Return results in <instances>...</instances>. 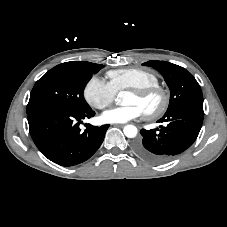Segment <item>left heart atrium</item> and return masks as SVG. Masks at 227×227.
<instances>
[{
    "mask_svg": "<svg viewBox=\"0 0 227 227\" xmlns=\"http://www.w3.org/2000/svg\"><path fill=\"white\" fill-rule=\"evenodd\" d=\"M143 115V111L137 105L130 104L114 107L105 111L101 118L106 123H125Z\"/></svg>",
    "mask_w": 227,
    "mask_h": 227,
    "instance_id": "left-heart-atrium-1",
    "label": "left heart atrium"
}]
</instances>
